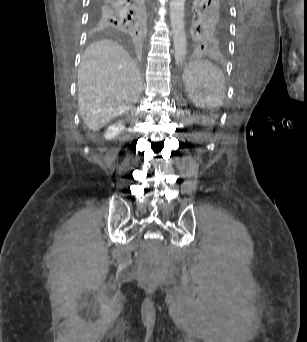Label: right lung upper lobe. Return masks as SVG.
Instances as JSON below:
<instances>
[{
    "label": "right lung upper lobe",
    "instance_id": "cb5924a9",
    "mask_svg": "<svg viewBox=\"0 0 307 342\" xmlns=\"http://www.w3.org/2000/svg\"><path fill=\"white\" fill-rule=\"evenodd\" d=\"M91 24L96 35L140 42L148 28L145 0H93Z\"/></svg>",
    "mask_w": 307,
    "mask_h": 342
}]
</instances>
